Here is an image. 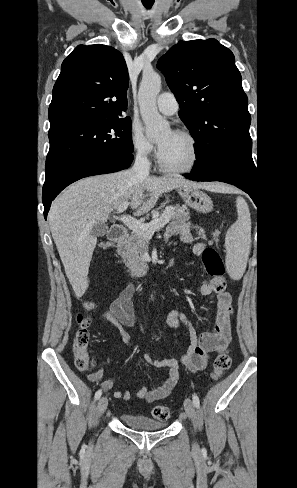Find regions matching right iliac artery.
I'll return each instance as SVG.
<instances>
[{
    "label": "right iliac artery",
    "instance_id": "obj_1",
    "mask_svg": "<svg viewBox=\"0 0 297 488\" xmlns=\"http://www.w3.org/2000/svg\"><path fill=\"white\" fill-rule=\"evenodd\" d=\"M102 395V391L101 390H98L96 393H95V400H98Z\"/></svg>",
    "mask_w": 297,
    "mask_h": 488
}]
</instances>
